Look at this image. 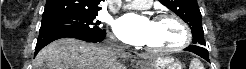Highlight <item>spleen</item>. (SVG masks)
Returning a JSON list of instances; mask_svg holds the SVG:
<instances>
[{
  "instance_id": "1",
  "label": "spleen",
  "mask_w": 246,
  "mask_h": 69,
  "mask_svg": "<svg viewBox=\"0 0 246 69\" xmlns=\"http://www.w3.org/2000/svg\"><path fill=\"white\" fill-rule=\"evenodd\" d=\"M189 69H204V66L197 58H193L190 62Z\"/></svg>"
}]
</instances>
